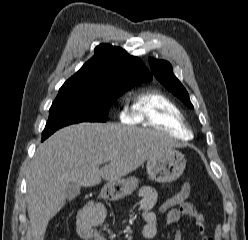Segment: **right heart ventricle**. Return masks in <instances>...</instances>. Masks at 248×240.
<instances>
[{
  "mask_svg": "<svg viewBox=\"0 0 248 240\" xmlns=\"http://www.w3.org/2000/svg\"><path fill=\"white\" fill-rule=\"evenodd\" d=\"M127 121L162 130L179 140L192 137L181 109L170 98L157 91L137 94L131 100Z\"/></svg>",
  "mask_w": 248,
  "mask_h": 240,
  "instance_id": "obj_1",
  "label": "right heart ventricle"
}]
</instances>
